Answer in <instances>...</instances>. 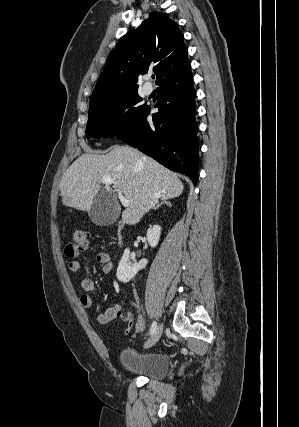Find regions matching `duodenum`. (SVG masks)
I'll list each match as a JSON object with an SVG mask.
<instances>
[{"instance_id": "410a0bca", "label": "duodenum", "mask_w": 299, "mask_h": 427, "mask_svg": "<svg viewBox=\"0 0 299 427\" xmlns=\"http://www.w3.org/2000/svg\"><path fill=\"white\" fill-rule=\"evenodd\" d=\"M124 231H125L124 224H120L118 227V238L120 243H123L124 241Z\"/></svg>"}]
</instances>
